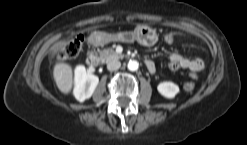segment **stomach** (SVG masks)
Listing matches in <instances>:
<instances>
[{
    "mask_svg": "<svg viewBox=\"0 0 247 145\" xmlns=\"http://www.w3.org/2000/svg\"><path fill=\"white\" fill-rule=\"evenodd\" d=\"M114 39L121 41H133L137 40L139 43L145 46H153L158 41V36L156 29L147 26L141 25L137 27L133 32H123L119 33ZM109 40L111 37L109 36Z\"/></svg>",
    "mask_w": 247,
    "mask_h": 145,
    "instance_id": "obj_1",
    "label": "stomach"
}]
</instances>
